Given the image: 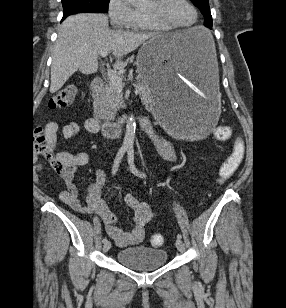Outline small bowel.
I'll return each mask as SVG.
<instances>
[{
	"label": "small bowel",
	"mask_w": 286,
	"mask_h": 308,
	"mask_svg": "<svg viewBox=\"0 0 286 308\" xmlns=\"http://www.w3.org/2000/svg\"><path fill=\"white\" fill-rule=\"evenodd\" d=\"M83 129L88 133L96 134L100 126L94 118H86L82 123L71 121L61 128V135L64 139L75 137ZM58 125L55 122L47 124L45 133L48 140L55 144L57 141ZM155 145L159 154L168 162H176L177 155L168 141L162 138L155 139ZM58 160L65 166L63 179L66 189L59 197L61 201L71 209L82 214H94L99 216L105 223L107 234L120 247L135 245L142 241L145 226L152 218V211L147 202L139 201L133 195L124 197L125 204L133 211V227L130 230H123L117 226V217L110 211L104 201L101 199V189L106 180V174L102 169H97L95 180L89 185L84 195L85 203H82L79 197V190L74 183V176L79 167L89 163V154L86 151L68 152L61 151L57 154ZM42 170V165H38Z\"/></svg>",
	"instance_id": "small-bowel-1"
}]
</instances>
